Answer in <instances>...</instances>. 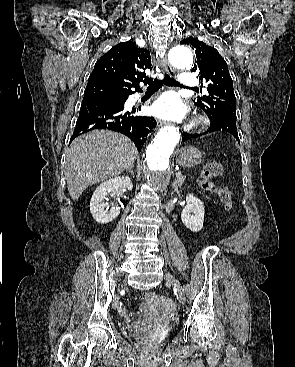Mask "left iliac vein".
<instances>
[{"mask_svg":"<svg viewBox=\"0 0 295 367\" xmlns=\"http://www.w3.org/2000/svg\"><path fill=\"white\" fill-rule=\"evenodd\" d=\"M164 277H165V280L168 281L170 284H172L173 287L177 290L180 301L182 303H184L185 302V293H184V290H183L180 282L169 273H166Z\"/></svg>","mask_w":295,"mask_h":367,"instance_id":"obj_1","label":"left iliac vein"}]
</instances>
